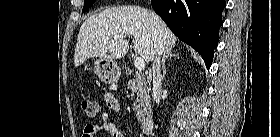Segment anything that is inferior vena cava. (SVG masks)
<instances>
[{
	"instance_id": "602c4592",
	"label": "inferior vena cava",
	"mask_w": 280,
	"mask_h": 137,
	"mask_svg": "<svg viewBox=\"0 0 280 137\" xmlns=\"http://www.w3.org/2000/svg\"><path fill=\"white\" fill-rule=\"evenodd\" d=\"M152 73H153V97L157 104L160 101V95L162 92V84H161V69H160V58L159 55L155 57L152 65Z\"/></svg>"
}]
</instances>
